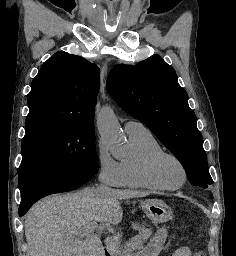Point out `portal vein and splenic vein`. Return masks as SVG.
Wrapping results in <instances>:
<instances>
[{"label": "portal vein and splenic vein", "mask_w": 236, "mask_h": 256, "mask_svg": "<svg viewBox=\"0 0 236 256\" xmlns=\"http://www.w3.org/2000/svg\"><path fill=\"white\" fill-rule=\"evenodd\" d=\"M94 230H98V232H102L103 226H97L96 222H91V224H87L84 228H81L78 238H84L87 234H92Z\"/></svg>", "instance_id": "18ae733b"}]
</instances>
